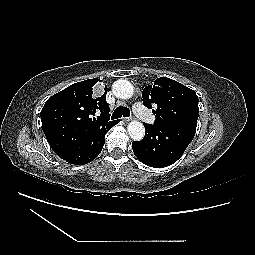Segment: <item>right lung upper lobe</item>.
I'll use <instances>...</instances> for the list:
<instances>
[{"instance_id": "1", "label": "right lung upper lobe", "mask_w": 255, "mask_h": 255, "mask_svg": "<svg viewBox=\"0 0 255 255\" xmlns=\"http://www.w3.org/2000/svg\"><path fill=\"white\" fill-rule=\"evenodd\" d=\"M97 78L74 83L50 97L42 111L43 132L54 152L60 157L89 132L110 126L106 92L96 96Z\"/></svg>"}]
</instances>
